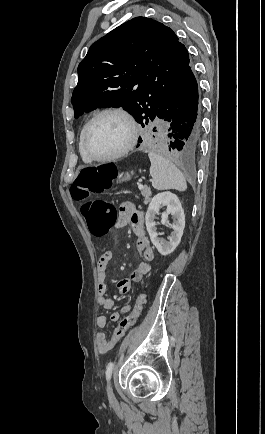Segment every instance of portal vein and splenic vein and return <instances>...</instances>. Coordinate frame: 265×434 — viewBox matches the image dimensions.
<instances>
[{
    "label": "portal vein and splenic vein",
    "mask_w": 265,
    "mask_h": 434,
    "mask_svg": "<svg viewBox=\"0 0 265 434\" xmlns=\"http://www.w3.org/2000/svg\"><path fill=\"white\" fill-rule=\"evenodd\" d=\"M138 188H139V190H142V188H143L142 184H138Z\"/></svg>",
    "instance_id": "obj_1"
}]
</instances>
